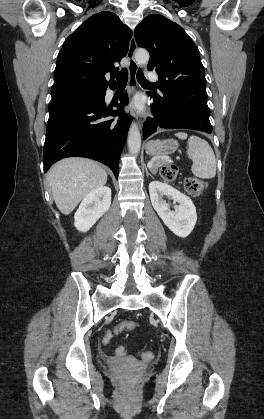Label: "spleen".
<instances>
[{"label": "spleen", "instance_id": "1", "mask_svg": "<svg viewBox=\"0 0 264 419\" xmlns=\"http://www.w3.org/2000/svg\"><path fill=\"white\" fill-rule=\"evenodd\" d=\"M178 138L187 139L185 132L175 134ZM187 155L192 159V173L202 179H210L216 175V158L208 142L198 136L191 135L188 139Z\"/></svg>", "mask_w": 264, "mask_h": 419}]
</instances>
